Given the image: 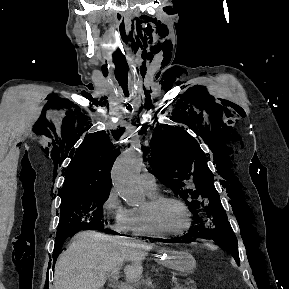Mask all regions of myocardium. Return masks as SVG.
Masks as SVG:
<instances>
[{
	"instance_id": "1",
	"label": "myocardium",
	"mask_w": 289,
	"mask_h": 289,
	"mask_svg": "<svg viewBox=\"0 0 289 289\" xmlns=\"http://www.w3.org/2000/svg\"><path fill=\"white\" fill-rule=\"evenodd\" d=\"M166 202H175L186 211L188 223L184 229L178 232H169L159 227L156 222L155 213L158 207ZM141 213L150 232L159 237H175L184 235L189 231L193 222L192 212L189 206L182 199L173 195H156L153 197H149L146 202V206L141 208Z\"/></svg>"
}]
</instances>
